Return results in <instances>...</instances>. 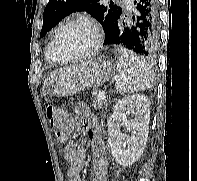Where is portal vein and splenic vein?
Here are the masks:
<instances>
[{
    "instance_id": "portal-vein-and-splenic-vein-1",
    "label": "portal vein and splenic vein",
    "mask_w": 197,
    "mask_h": 181,
    "mask_svg": "<svg viewBox=\"0 0 197 181\" xmlns=\"http://www.w3.org/2000/svg\"><path fill=\"white\" fill-rule=\"evenodd\" d=\"M105 98H106L105 92L104 91H100L98 93V99L105 100Z\"/></svg>"
}]
</instances>
